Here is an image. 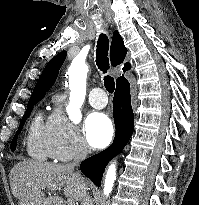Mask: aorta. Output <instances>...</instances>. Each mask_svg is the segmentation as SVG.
<instances>
[{
	"label": "aorta",
	"mask_w": 199,
	"mask_h": 205,
	"mask_svg": "<svg viewBox=\"0 0 199 205\" xmlns=\"http://www.w3.org/2000/svg\"><path fill=\"white\" fill-rule=\"evenodd\" d=\"M88 66L73 62L69 68V87H70V104L68 114L71 121L75 124L81 120L79 108L82 106L86 96V79ZM116 179V164L111 163L105 176L104 195L108 196L113 188Z\"/></svg>",
	"instance_id": "obj_1"
}]
</instances>
